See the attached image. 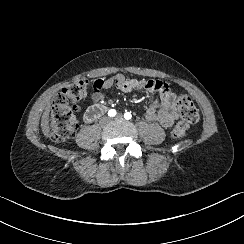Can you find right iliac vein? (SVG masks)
<instances>
[{"instance_id": "obj_1", "label": "right iliac vein", "mask_w": 244, "mask_h": 244, "mask_svg": "<svg viewBox=\"0 0 244 244\" xmlns=\"http://www.w3.org/2000/svg\"><path fill=\"white\" fill-rule=\"evenodd\" d=\"M110 120L111 119L109 117H105L104 120H103V122L106 123V124H108L110 122Z\"/></svg>"}]
</instances>
